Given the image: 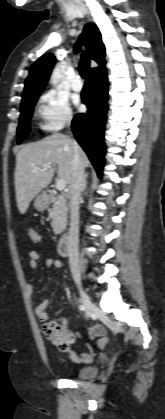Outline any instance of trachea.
<instances>
[{
  "instance_id": "1",
  "label": "trachea",
  "mask_w": 165,
  "mask_h": 419,
  "mask_svg": "<svg viewBox=\"0 0 165 419\" xmlns=\"http://www.w3.org/2000/svg\"><path fill=\"white\" fill-rule=\"evenodd\" d=\"M89 68H90V58L88 54L84 52L81 56V60L79 64V73L83 79L86 78Z\"/></svg>"
}]
</instances>
